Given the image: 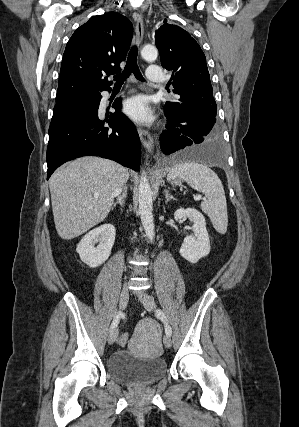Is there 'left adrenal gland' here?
<instances>
[{
  "label": "left adrenal gland",
  "instance_id": "obj_1",
  "mask_svg": "<svg viewBox=\"0 0 299 427\" xmlns=\"http://www.w3.org/2000/svg\"><path fill=\"white\" fill-rule=\"evenodd\" d=\"M165 192V198H166V201H165V203L167 204L170 200H175V198L169 193V190H165L164 191Z\"/></svg>",
  "mask_w": 299,
  "mask_h": 427
}]
</instances>
